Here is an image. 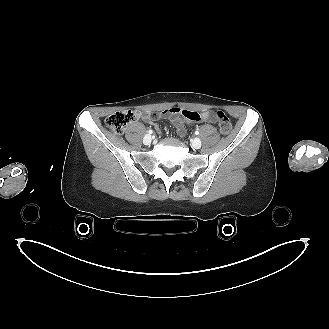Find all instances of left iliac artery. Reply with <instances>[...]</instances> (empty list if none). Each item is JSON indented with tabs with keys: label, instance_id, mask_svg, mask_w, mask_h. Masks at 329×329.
<instances>
[{
	"label": "left iliac artery",
	"instance_id": "obj_1",
	"mask_svg": "<svg viewBox=\"0 0 329 329\" xmlns=\"http://www.w3.org/2000/svg\"><path fill=\"white\" fill-rule=\"evenodd\" d=\"M195 134H196V135H199V131H198V130H197V131H195Z\"/></svg>",
	"mask_w": 329,
	"mask_h": 329
}]
</instances>
